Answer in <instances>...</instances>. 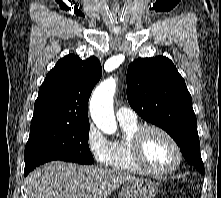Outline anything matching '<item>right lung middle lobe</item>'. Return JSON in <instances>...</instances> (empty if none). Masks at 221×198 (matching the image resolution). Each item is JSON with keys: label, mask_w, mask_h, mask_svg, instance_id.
<instances>
[{"label": "right lung middle lobe", "mask_w": 221, "mask_h": 198, "mask_svg": "<svg viewBox=\"0 0 221 198\" xmlns=\"http://www.w3.org/2000/svg\"><path fill=\"white\" fill-rule=\"evenodd\" d=\"M89 123L40 122L31 124L25 148V171L51 161L62 160L93 164L89 150Z\"/></svg>", "instance_id": "1"}]
</instances>
